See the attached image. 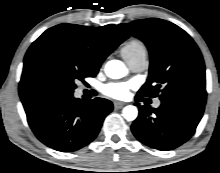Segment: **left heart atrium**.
Wrapping results in <instances>:
<instances>
[{
  "label": "left heart atrium",
  "mask_w": 220,
  "mask_h": 173,
  "mask_svg": "<svg viewBox=\"0 0 220 173\" xmlns=\"http://www.w3.org/2000/svg\"><path fill=\"white\" fill-rule=\"evenodd\" d=\"M133 85L128 82H114L104 86L103 93L114 99H126Z\"/></svg>",
  "instance_id": "39dd6f15"
}]
</instances>
